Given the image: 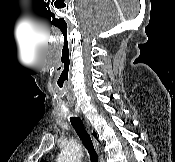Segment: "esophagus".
Masks as SVG:
<instances>
[{"instance_id":"1","label":"esophagus","mask_w":175,"mask_h":162,"mask_svg":"<svg viewBox=\"0 0 175 162\" xmlns=\"http://www.w3.org/2000/svg\"><path fill=\"white\" fill-rule=\"evenodd\" d=\"M93 142H94V146H95L97 152H99V145H98L97 141L95 139H93Z\"/></svg>"}]
</instances>
